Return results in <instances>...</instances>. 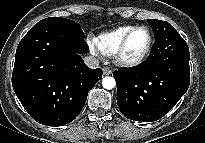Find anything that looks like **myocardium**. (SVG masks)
<instances>
[{
    "label": "myocardium",
    "mask_w": 205,
    "mask_h": 143,
    "mask_svg": "<svg viewBox=\"0 0 205 143\" xmlns=\"http://www.w3.org/2000/svg\"><path fill=\"white\" fill-rule=\"evenodd\" d=\"M139 29H144L148 34L147 46H146L145 50L143 51V53L139 57H137L135 59H127L124 57V53L126 50L128 40H129L130 36L136 30H139ZM152 44H153V34H152L151 30L147 26H144V25L134 26L124 35L119 46L117 47L116 51L114 52V54H113L114 62L118 66L125 67V68L136 67V66L140 65L141 63H143L145 61V59L148 57V55L152 49Z\"/></svg>",
    "instance_id": "f54148a6"
}]
</instances>
